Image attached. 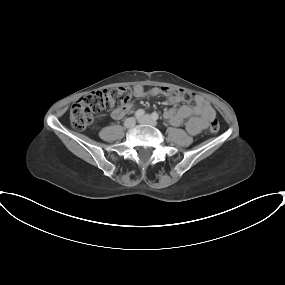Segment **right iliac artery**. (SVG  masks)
Returning a JSON list of instances; mask_svg holds the SVG:
<instances>
[{
	"instance_id": "1",
	"label": "right iliac artery",
	"mask_w": 285,
	"mask_h": 285,
	"mask_svg": "<svg viewBox=\"0 0 285 285\" xmlns=\"http://www.w3.org/2000/svg\"><path fill=\"white\" fill-rule=\"evenodd\" d=\"M145 114L144 110L139 109L135 112V117L139 118L142 117Z\"/></svg>"
}]
</instances>
